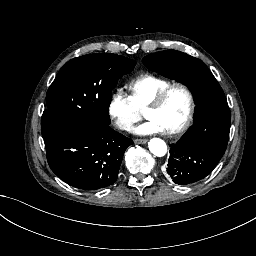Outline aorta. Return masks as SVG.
I'll list each match as a JSON object with an SVG mask.
<instances>
[{"instance_id":"obj_1","label":"aorta","mask_w":256,"mask_h":256,"mask_svg":"<svg viewBox=\"0 0 256 256\" xmlns=\"http://www.w3.org/2000/svg\"><path fill=\"white\" fill-rule=\"evenodd\" d=\"M148 145L150 152L158 158H162L167 154L168 147L162 139L153 138L150 140Z\"/></svg>"}]
</instances>
